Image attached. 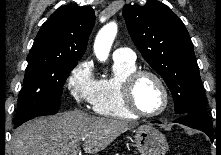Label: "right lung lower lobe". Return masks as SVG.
<instances>
[{"instance_id":"right-lung-lower-lobe-1","label":"right lung lower lobe","mask_w":221,"mask_h":155,"mask_svg":"<svg viewBox=\"0 0 221 155\" xmlns=\"http://www.w3.org/2000/svg\"><path fill=\"white\" fill-rule=\"evenodd\" d=\"M58 111H55V112H47V113H43V114H41V115H39V116H44V115H53V114H56ZM22 124V123H21ZM21 124H16L15 125V127H18V126H20Z\"/></svg>"}]
</instances>
